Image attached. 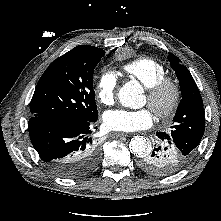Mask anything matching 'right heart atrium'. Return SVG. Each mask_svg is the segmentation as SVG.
I'll list each match as a JSON object with an SVG mask.
<instances>
[{
    "instance_id": "d8ad5b80",
    "label": "right heart atrium",
    "mask_w": 221,
    "mask_h": 221,
    "mask_svg": "<svg viewBox=\"0 0 221 221\" xmlns=\"http://www.w3.org/2000/svg\"><path fill=\"white\" fill-rule=\"evenodd\" d=\"M117 79L113 72L105 70L98 76L95 95L103 105H111L115 98Z\"/></svg>"
}]
</instances>
